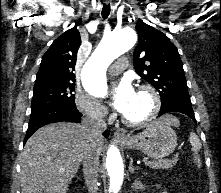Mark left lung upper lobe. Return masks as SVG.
I'll return each mask as SVG.
<instances>
[{"label": "left lung upper lobe", "instance_id": "5c2ea615", "mask_svg": "<svg viewBox=\"0 0 221 193\" xmlns=\"http://www.w3.org/2000/svg\"><path fill=\"white\" fill-rule=\"evenodd\" d=\"M139 42L133 53L135 71L159 92L161 105L189 96L176 46L161 31L138 19Z\"/></svg>", "mask_w": 221, "mask_h": 193}]
</instances>
